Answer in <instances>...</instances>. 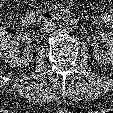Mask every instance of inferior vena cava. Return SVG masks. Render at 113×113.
Here are the masks:
<instances>
[{"mask_svg": "<svg viewBox=\"0 0 113 113\" xmlns=\"http://www.w3.org/2000/svg\"><path fill=\"white\" fill-rule=\"evenodd\" d=\"M55 28H56V23L49 20L40 25V32L41 33H49L51 31H53Z\"/></svg>", "mask_w": 113, "mask_h": 113, "instance_id": "1", "label": "inferior vena cava"}]
</instances>
